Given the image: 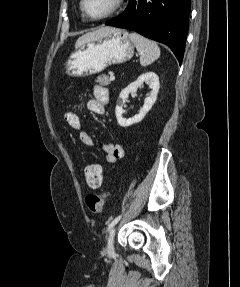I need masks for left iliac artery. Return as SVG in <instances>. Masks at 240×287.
I'll use <instances>...</instances> for the list:
<instances>
[{
    "label": "left iliac artery",
    "instance_id": "obj_1",
    "mask_svg": "<svg viewBox=\"0 0 240 287\" xmlns=\"http://www.w3.org/2000/svg\"><path fill=\"white\" fill-rule=\"evenodd\" d=\"M122 215H118L109 225L107 228V232L121 219Z\"/></svg>",
    "mask_w": 240,
    "mask_h": 287
}]
</instances>
